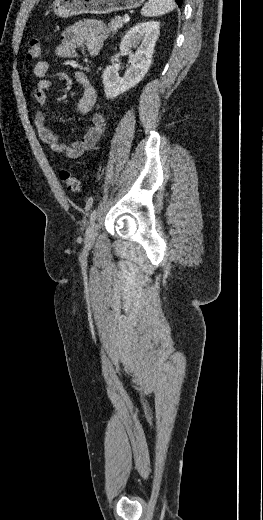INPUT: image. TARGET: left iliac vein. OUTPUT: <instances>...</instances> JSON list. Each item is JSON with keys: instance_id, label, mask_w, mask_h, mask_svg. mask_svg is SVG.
<instances>
[{"instance_id": "1", "label": "left iliac vein", "mask_w": 263, "mask_h": 520, "mask_svg": "<svg viewBox=\"0 0 263 520\" xmlns=\"http://www.w3.org/2000/svg\"><path fill=\"white\" fill-rule=\"evenodd\" d=\"M98 235V225L93 222L86 232L85 241L86 244L92 245Z\"/></svg>"}]
</instances>
